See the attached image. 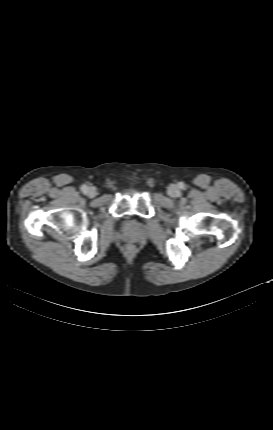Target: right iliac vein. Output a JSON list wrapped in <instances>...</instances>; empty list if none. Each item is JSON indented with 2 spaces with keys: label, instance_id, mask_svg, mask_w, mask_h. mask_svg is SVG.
<instances>
[{
  "label": "right iliac vein",
  "instance_id": "1",
  "mask_svg": "<svg viewBox=\"0 0 273 430\" xmlns=\"http://www.w3.org/2000/svg\"><path fill=\"white\" fill-rule=\"evenodd\" d=\"M97 194L96 188L95 187H89L87 190V196L90 198L95 197Z\"/></svg>",
  "mask_w": 273,
  "mask_h": 430
}]
</instances>
